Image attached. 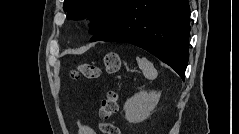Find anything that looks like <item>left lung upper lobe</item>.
<instances>
[{
	"mask_svg": "<svg viewBox=\"0 0 239 134\" xmlns=\"http://www.w3.org/2000/svg\"><path fill=\"white\" fill-rule=\"evenodd\" d=\"M126 0H65L63 9L68 19L79 20L88 17L90 33L95 35L108 27Z\"/></svg>",
	"mask_w": 239,
	"mask_h": 134,
	"instance_id": "5c2ea615",
	"label": "left lung upper lobe"
}]
</instances>
